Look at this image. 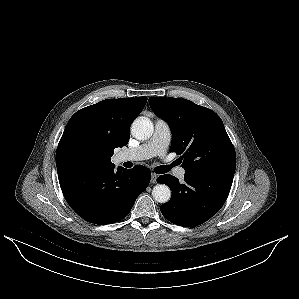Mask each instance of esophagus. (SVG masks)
I'll return each instance as SVG.
<instances>
[{"label":"esophagus","instance_id":"obj_1","mask_svg":"<svg viewBox=\"0 0 299 299\" xmlns=\"http://www.w3.org/2000/svg\"><path fill=\"white\" fill-rule=\"evenodd\" d=\"M156 179H157V175L155 173H151V180H150V182L152 184H155L156 183Z\"/></svg>","mask_w":299,"mask_h":299}]
</instances>
